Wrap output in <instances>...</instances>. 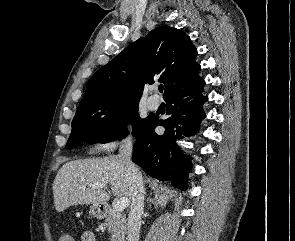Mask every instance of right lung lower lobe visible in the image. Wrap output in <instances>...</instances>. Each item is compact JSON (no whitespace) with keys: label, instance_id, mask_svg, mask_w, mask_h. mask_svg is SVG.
Here are the masks:
<instances>
[{"label":"right lung lower lobe","instance_id":"98d812e1","mask_svg":"<svg viewBox=\"0 0 295 241\" xmlns=\"http://www.w3.org/2000/svg\"><path fill=\"white\" fill-rule=\"evenodd\" d=\"M204 80L174 92L165 98L167 114L165 120L151 115L148 123L135 135L136 142L132 160L146 173L159 180H169L173 186L187 189L188 172L191 167L186 155L178 151L176 140L194 135L205 117L202 105L208 100L202 94ZM182 124L184 127H178ZM163 126L162 135L155 133L156 126Z\"/></svg>","mask_w":295,"mask_h":241}]
</instances>
